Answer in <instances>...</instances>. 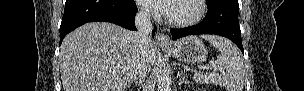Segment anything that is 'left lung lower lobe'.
Masks as SVG:
<instances>
[{
	"mask_svg": "<svg viewBox=\"0 0 304 91\" xmlns=\"http://www.w3.org/2000/svg\"><path fill=\"white\" fill-rule=\"evenodd\" d=\"M207 7L206 17L199 24L183 29H172L170 32L173 40L195 34L221 35L232 40L244 54L238 21V0H219Z\"/></svg>",
	"mask_w": 304,
	"mask_h": 91,
	"instance_id": "obj_1",
	"label": "left lung lower lobe"
}]
</instances>
